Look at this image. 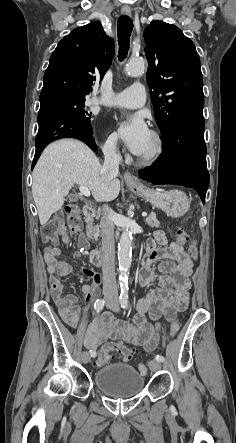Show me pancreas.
Segmentation results:
<instances>
[{
	"label": "pancreas",
	"instance_id": "cf45deb5",
	"mask_svg": "<svg viewBox=\"0 0 236 443\" xmlns=\"http://www.w3.org/2000/svg\"><path fill=\"white\" fill-rule=\"evenodd\" d=\"M144 221L150 227L158 228L160 226V222L157 220L155 213H151ZM99 234H100L99 226L94 227V236L98 238Z\"/></svg>",
	"mask_w": 236,
	"mask_h": 443
}]
</instances>
